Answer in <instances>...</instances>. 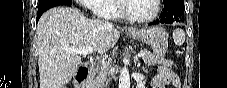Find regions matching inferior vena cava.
Segmentation results:
<instances>
[{
  "mask_svg": "<svg viewBox=\"0 0 227 88\" xmlns=\"http://www.w3.org/2000/svg\"><path fill=\"white\" fill-rule=\"evenodd\" d=\"M105 26H110L111 24L109 22L104 23Z\"/></svg>",
  "mask_w": 227,
  "mask_h": 88,
  "instance_id": "obj_1",
  "label": "inferior vena cava"
}]
</instances>
